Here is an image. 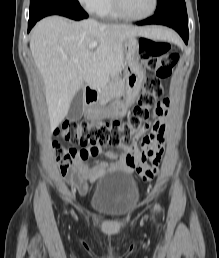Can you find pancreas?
Listing matches in <instances>:
<instances>
[{
    "instance_id": "pancreas-1",
    "label": "pancreas",
    "mask_w": 219,
    "mask_h": 258,
    "mask_svg": "<svg viewBox=\"0 0 219 258\" xmlns=\"http://www.w3.org/2000/svg\"><path fill=\"white\" fill-rule=\"evenodd\" d=\"M117 86H119V84L111 82L108 86L104 87L101 93L105 92V95L101 98V102H106L110 95L118 93ZM119 91H121V88H119Z\"/></svg>"
}]
</instances>
